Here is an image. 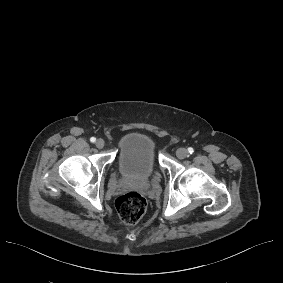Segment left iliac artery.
Wrapping results in <instances>:
<instances>
[{"mask_svg": "<svg viewBox=\"0 0 283 283\" xmlns=\"http://www.w3.org/2000/svg\"><path fill=\"white\" fill-rule=\"evenodd\" d=\"M188 152H189V154H192V153L194 152L193 148H192V147H189V148H188Z\"/></svg>", "mask_w": 283, "mask_h": 283, "instance_id": "1", "label": "left iliac artery"}]
</instances>
